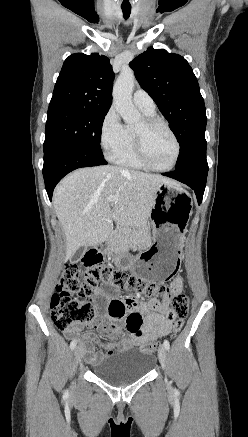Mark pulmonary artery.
<instances>
[{
  "instance_id": "1",
  "label": "pulmonary artery",
  "mask_w": 248,
  "mask_h": 437,
  "mask_svg": "<svg viewBox=\"0 0 248 437\" xmlns=\"http://www.w3.org/2000/svg\"><path fill=\"white\" fill-rule=\"evenodd\" d=\"M133 102L136 105V107H138L141 111L147 113L155 112V103L153 99L146 91L142 89H138L134 92Z\"/></svg>"
}]
</instances>
